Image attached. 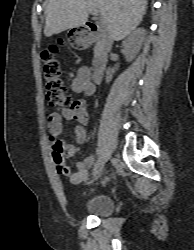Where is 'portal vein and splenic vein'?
<instances>
[{"mask_svg":"<svg viewBox=\"0 0 194 250\" xmlns=\"http://www.w3.org/2000/svg\"><path fill=\"white\" fill-rule=\"evenodd\" d=\"M90 13L95 17L99 15V12L97 10H92ZM105 24H106V21L103 18H100V25L103 27L105 26Z\"/></svg>","mask_w":194,"mask_h":250,"instance_id":"1","label":"portal vein and splenic vein"}]
</instances>
